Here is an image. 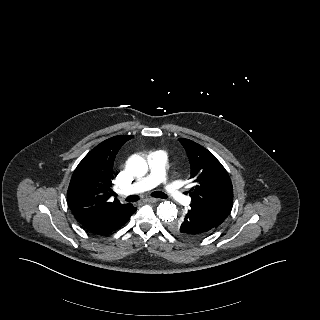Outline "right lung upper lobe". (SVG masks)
Segmentation results:
<instances>
[{"mask_svg": "<svg viewBox=\"0 0 320 320\" xmlns=\"http://www.w3.org/2000/svg\"><path fill=\"white\" fill-rule=\"evenodd\" d=\"M132 135L111 137L93 148L78 164L67 191L69 207L81 225L126 207L110 200L114 179L113 162L121 146Z\"/></svg>", "mask_w": 320, "mask_h": 320, "instance_id": "obj_1", "label": "right lung upper lobe"}]
</instances>
